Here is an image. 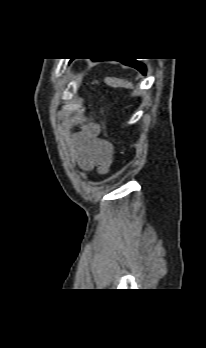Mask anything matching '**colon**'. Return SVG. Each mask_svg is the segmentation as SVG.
<instances>
[{
    "mask_svg": "<svg viewBox=\"0 0 206 348\" xmlns=\"http://www.w3.org/2000/svg\"><path fill=\"white\" fill-rule=\"evenodd\" d=\"M91 131H92V132H94V131H95V129H94V128H92V129H91Z\"/></svg>",
    "mask_w": 206,
    "mask_h": 348,
    "instance_id": "1",
    "label": "colon"
}]
</instances>
